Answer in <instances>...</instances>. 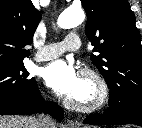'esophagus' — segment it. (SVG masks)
Instances as JSON below:
<instances>
[{
    "instance_id": "1",
    "label": "esophagus",
    "mask_w": 142,
    "mask_h": 128,
    "mask_svg": "<svg viewBox=\"0 0 142 128\" xmlns=\"http://www.w3.org/2000/svg\"><path fill=\"white\" fill-rule=\"evenodd\" d=\"M67 125L69 128H79V125L76 122H74L73 120H68Z\"/></svg>"
}]
</instances>
